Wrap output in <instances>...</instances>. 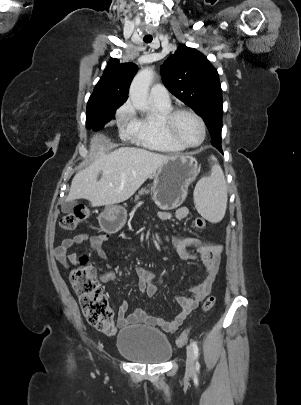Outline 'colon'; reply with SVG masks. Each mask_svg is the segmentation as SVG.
<instances>
[{"mask_svg":"<svg viewBox=\"0 0 301 405\" xmlns=\"http://www.w3.org/2000/svg\"><path fill=\"white\" fill-rule=\"evenodd\" d=\"M89 216V209L80 205L71 212L66 213L60 220V226L67 231L74 230L80 223L84 222ZM206 226V221L203 218L194 220V227L202 229ZM71 283L79 296L80 305L83 314L88 323L95 328L111 333L114 330L113 312L110 308L109 301L99 282L96 278V272L92 265L88 262L86 256H80L78 265L70 274ZM216 298L209 296L205 298L202 305V312H208L215 305ZM190 336V331H184L177 339L176 345L184 346Z\"/></svg>","mask_w":301,"mask_h":405,"instance_id":"5ec220e1","label":"colon"}]
</instances>
